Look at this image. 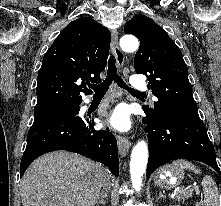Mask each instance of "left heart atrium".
Instances as JSON below:
<instances>
[{
  "instance_id": "left-heart-atrium-1",
  "label": "left heart atrium",
  "mask_w": 221,
  "mask_h": 206,
  "mask_svg": "<svg viewBox=\"0 0 221 206\" xmlns=\"http://www.w3.org/2000/svg\"><path fill=\"white\" fill-rule=\"evenodd\" d=\"M108 123L118 130H126L129 128L130 120L124 108L115 109L108 118Z\"/></svg>"
}]
</instances>
